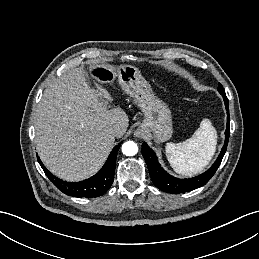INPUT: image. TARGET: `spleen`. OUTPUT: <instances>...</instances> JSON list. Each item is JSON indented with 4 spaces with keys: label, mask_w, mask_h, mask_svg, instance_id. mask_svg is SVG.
Segmentation results:
<instances>
[{
    "label": "spleen",
    "mask_w": 259,
    "mask_h": 259,
    "mask_svg": "<svg viewBox=\"0 0 259 259\" xmlns=\"http://www.w3.org/2000/svg\"><path fill=\"white\" fill-rule=\"evenodd\" d=\"M216 144V129L209 119H203L191 138L182 143H167L166 157L176 173L195 175L209 164Z\"/></svg>",
    "instance_id": "obj_1"
}]
</instances>
